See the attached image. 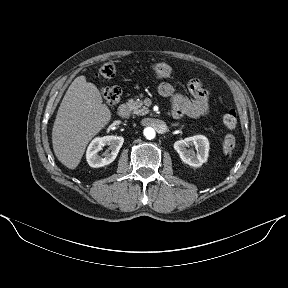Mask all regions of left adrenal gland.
<instances>
[{
	"label": "left adrenal gland",
	"instance_id": "a2214340",
	"mask_svg": "<svg viewBox=\"0 0 288 288\" xmlns=\"http://www.w3.org/2000/svg\"><path fill=\"white\" fill-rule=\"evenodd\" d=\"M178 125H179L178 123H175V124H172L171 126H173V127H174V126H178Z\"/></svg>",
	"mask_w": 288,
	"mask_h": 288
}]
</instances>
